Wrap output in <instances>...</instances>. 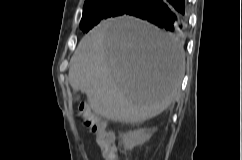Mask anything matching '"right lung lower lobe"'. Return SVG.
<instances>
[{
    "instance_id": "right-lung-lower-lobe-1",
    "label": "right lung lower lobe",
    "mask_w": 242,
    "mask_h": 160,
    "mask_svg": "<svg viewBox=\"0 0 242 160\" xmlns=\"http://www.w3.org/2000/svg\"><path fill=\"white\" fill-rule=\"evenodd\" d=\"M125 14L141 18L177 36H183L186 31L185 0H142Z\"/></svg>"
}]
</instances>
